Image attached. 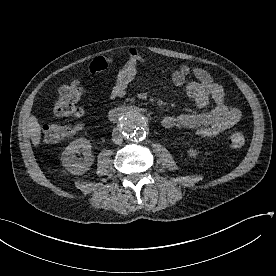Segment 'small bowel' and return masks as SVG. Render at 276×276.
<instances>
[{"label":"small bowel","instance_id":"small-bowel-1","mask_svg":"<svg viewBox=\"0 0 276 276\" xmlns=\"http://www.w3.org/2000/svg\"><path fill=\"white\" fill-rule=\"evenodd\" d=\"M111 62V58L96 57L90 63L89 72L93 75L102 72L108 68ZM150 63L136 49H130L126 61L117 72L115 84L108 95L109 99L122 98L126 94L128 86L134 80L138 66ZM190 74L194 76L195 80L187 81ZM171 78L176 86L185 88L187 95L196 107L205 108L211 101L215 103V107L206 113L166 116L162 120V125L165 128L190 129L195 130L200 136L213 137L222 134L241 120V111L226 103L222 86L214 82L206 70L181 65L172 72Z\"/></svg>","mask_w":276,"mask_h":276}]
</instances>
